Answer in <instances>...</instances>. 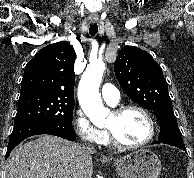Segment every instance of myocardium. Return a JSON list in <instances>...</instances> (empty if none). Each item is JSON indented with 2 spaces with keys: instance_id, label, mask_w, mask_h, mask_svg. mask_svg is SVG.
<instances>
[{
  "instance_id": "f54148a6",
  "label": "myocardium",
  "mask_w": 194,
  "mask_h": 178,
  "mask_svg": "<svg viewBox=\"0 0 194 178\" xmlns=\"http://www.w3.org/2000/svg\"><path fill=\"white\" fill-rule=\"evenodd\" d=\"M130 110H136L142 113L147 119L149 123V135L147 136L145 140L137 144H127V143L120 141L118 137L116 136V134L110 128H106V132H107L110 142L114 146L119 147V148H124V149H137V148L146 146L154 139L155 134H156V124H155V120L152 114L146 108L139 106V105H134V104L123 105V106L115 108L112 113L117 116H120Z\"/></svg>"
}]
</instances>
